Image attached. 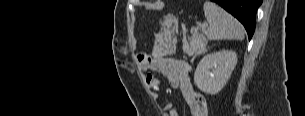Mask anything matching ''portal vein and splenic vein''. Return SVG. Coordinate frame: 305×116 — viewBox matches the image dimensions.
I'll return each instance as SVG.
<instances>
[{"label": "portal vein and splenic vein", "instance_id": "18ae733b", "mask_svg": "<svg viewBox=\"0 0 305 116\" xmlns=\"http://www.w3.org/2000/svg\"><path fill=\"white\" fill-rule=\"evenodd\" d=\"M207 26H208L207 23L200 24L197 28H195L194 31H197L199 28L202 29V30H204Z\"/></svg>", "mask_w": 305, "mask_h": 116}]
</instances>
